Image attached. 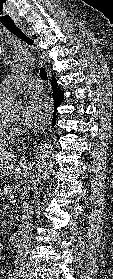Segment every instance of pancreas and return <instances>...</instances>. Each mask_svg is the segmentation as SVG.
<instances>
[{
	"instance_id": "cf45deb5",
	"label": "pancreas",
	"mask_w": 113,
	"mask_h": 279,
	"mask_svg": "<svg viewBox=\"0 0 113 279\" xmlns=\"http://www.w3.org/2000/svg\"><path fill=\"white\" fill-rule=\"evenodd\" d=\"M10 195H13V191L11 190V187L9 184H5L2 189L0 188V196H7V198H8ZM12 200L16 201L15 197ZM16 219H18V217H16ZM14 223H15V220H12L11 224H14Z\"/></svg>"
}]
</instances>
